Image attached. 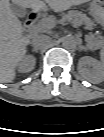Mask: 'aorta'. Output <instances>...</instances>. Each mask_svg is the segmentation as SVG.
<instances>
[{"mask_svg":"<svg viewBox=\"0 0 104 137\" xmlns=\"http://www.w3.org/2000/svg\"><path fill=\"white\" fill-rule=\"evenodd\" d=\"M62 46L65 49H74L76 47V40L73 36L67 35L61 39Z\"/></svg>","mask_w":104,"mask_h":137,"instance_id":"1","label":"aorta"}]
</instances>
